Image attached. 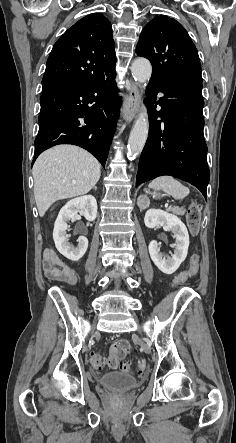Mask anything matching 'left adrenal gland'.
Returning <instances> with one entry per match:
<instances>
[{
	"label": "left adrenal gland",
	"instance_id": "left-adrenal-gland-1",
	"mask_svg": "<svg viewBox=\"0 0 236 443\" xmlns=\"http://www.w3.org/2000/svg\"><path fill=\"white\" fill-rule=\"evenodd\" d=\"M137 204H138V206H139L140 208H142V205H141L140 201H138Z\"/></svg>",
	"mask_w": 236,
	"mask_h": 443
}]
</instances>
